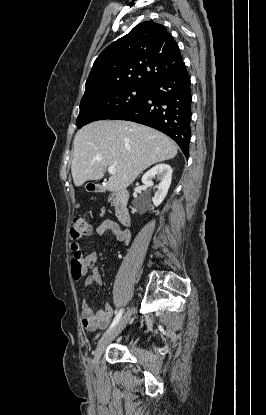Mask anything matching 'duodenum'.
Returning a JSON list of instances; mask_svg holds the SVG:
<instances>
[{
  "mask_svg": "<svg viewBox=\"0 0 266 415\" xmlns=\"http://www.w3.org/2000/svg\"><path fill=\"white\" fill-rule=\"evenodd\" d=\"M93 191L97 193L106 192V188L100 184L93 186ZM115 215L119 222L123 225L130 223V216L128 211L129 193L126 189H115L113 192Z\"/></svg>",
  "mask_w": 266,
  "mask_h": 415,
  "instance_id": "1",
  "label": "duodenum"
}]
</instances>
